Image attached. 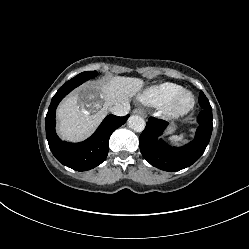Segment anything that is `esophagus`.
Segmentation results:
<instances>
[{
    "instance_id": "esophagus-1",
    "label": "esophagus",
    "mask_w": 249,
    "mask_h": 249,
    "mask_svg": "<svg viewBox=\"0 0 249 249\" xmlns=\"http://www.w3.org/2000/svg\"><path fill=\"white\" fill-rule=\"evenodd\" d=\"M133 113H134V114H138V115H140V116H142V117H145V115H146L145 111H144L143 109H141V108H136V109H134V110H133Z\"/></svg>"
}]
</instances>
